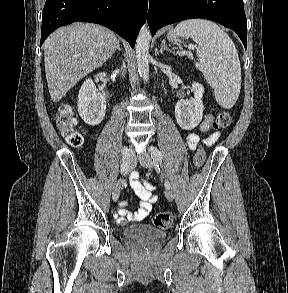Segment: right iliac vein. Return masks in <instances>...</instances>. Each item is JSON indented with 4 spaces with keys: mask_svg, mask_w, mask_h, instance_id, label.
Listing matches in <instances>:
<instances>
[{
    "mask_svg": "<svg viewBox=\"0 0 288 293\" xmlns=\"http://www.w3.org/2000/svg\"><path fill=\"white\" fill-rule=\"evenodd\" d=\"M128 156H129V163H130V166H129V170H130V167L133 165V163L135 162V158L133 156V153H132V150L131 148H129V151H128ZM122 166V165H121ZM129 170H126L125 171V174L128 173ZM122 182L123 180L122 179H119L113 186V191H112V199L114 202L118 201L119 199V196H120V190H121V186H122Z\"/></svg>",
    "mask_w": 288,
    "mask_h": 293,
    "instance_id": "63e3f726",
    "label": "right iliac vein"
}]
</instances>
